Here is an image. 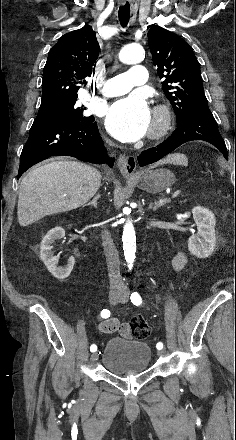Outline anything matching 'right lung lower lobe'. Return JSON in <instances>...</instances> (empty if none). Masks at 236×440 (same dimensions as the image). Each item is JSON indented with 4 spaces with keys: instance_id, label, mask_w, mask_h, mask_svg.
<instances>
[{
    "instance_id": "obj_1",
    "label": "right lung lower lobe",
    "mask_w": 236,
    "mask_h": 440,
    "mask_svg": "<svg viewBox=\"0 0 236 440\" xmlns=\"http://www.w3.org/2000/svg\"><path fill=\"white\" fill-rule=\"evenodd\" d=\"M72 156L79 160L113 166L108 158L95 119L74 121L63 117L39 115L23 147L18 178L31 166L51 156Z\"/></svg>"
}]
</instances>
